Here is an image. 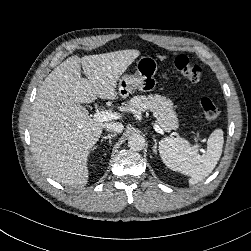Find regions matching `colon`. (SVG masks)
<instances>
[{
	"label": "colon",
	"mask_w": 251,
	"mask_h": 251,
	"mask_svg": "<svg viewBox=\"0 0 251 251\" xmlns=\"http://www.w3.org/2000/svg\"><path fill=\"white\" fill-rule=\"evenodd\" d=\"M174 65L179 73L187 80L197 82L202 78L203 69L201 66L190 60V58L185 55L176 56L174 59ZM200 104L206 120L214 121L219 117L220 111L210 98L203 97Z\"/></svg>",
	"instance_id": "obj_1"
}]
</instances>
